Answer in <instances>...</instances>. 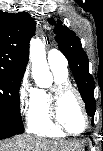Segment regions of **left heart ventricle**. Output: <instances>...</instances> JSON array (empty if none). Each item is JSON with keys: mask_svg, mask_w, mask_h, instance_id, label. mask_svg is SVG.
<instances>
[{"mask_svg": "<svg viewBox=\"0 0 103 151\" xmlns=\"http://www.w3.org/2000/svg\"><path fill=\"white\" fill-rule=\"evenodd\" d=\"M60 118L73 132H80L84 128L85 119L82 107L72 93L65 95L60 105Z\"/></svg>", "mask_w": 103, "mask_h": 151, "instance_id": "obj_1", "label": "left heart ventricle"}]
</instances>
